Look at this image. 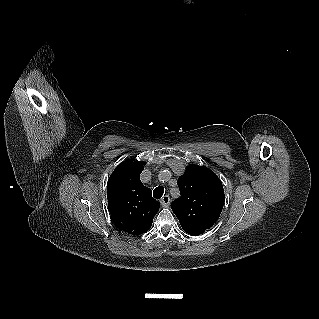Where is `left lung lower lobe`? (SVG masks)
Here are the masks:
<instances>
[{
    "mask_svg": "<svg viewBox=\"0 0 319 319\" xmlns=\"http://www.w3.org/2000/svg\"><path fill=\"white\" fill-rule=\"evenodd\" d=\"M183 229H184V231H185L186 233H188V234H190V235H193V236L204 233V232H200V231L189 230V229H186V228H183Z\"/></svg>",
    "mask_w": 319,
    "mask_h": 319,
    "instance_id": "1",
    "label": "left lung lower lobe"
}]
</instances>
